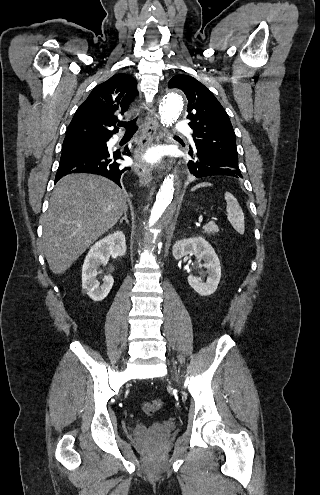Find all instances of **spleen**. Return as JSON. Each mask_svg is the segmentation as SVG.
<instances>
[{"label": "spleen", "instance_id": "1", "mask_svg": "<svg viewBox=\"0 0 320 495\" xmlns=\"http://www.w3.org/2000/svg\"><path fill=\"white\" fill-rule=\"evenodd\" d=\"M206 186H212L211 183H200L196 185L192 190H196L201 187H206ZM227 206H226V211H227V218L233 228L239 233V234H244L245 231V223H244V213L237 201V199L230 193L226 192L224 194Z\"/></svg>", "mask_w": 320, "mask_h": 495}]
</instances>
